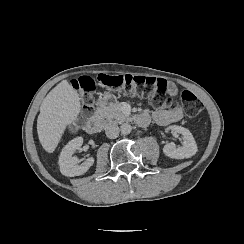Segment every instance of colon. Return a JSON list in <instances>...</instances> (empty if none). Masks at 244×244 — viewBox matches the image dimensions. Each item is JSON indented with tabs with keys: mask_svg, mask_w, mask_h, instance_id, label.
Listing matches in <instances>:
<instances>
[{
	"mask_svg": "<svg viewBox=\"0 0 244 244\" xmlns=\"http://www.w3.org/2000/svg\"><path fill=\"white\" fill-rule=\"evenodd\" d=\"M97 80L101 86H109L117 89H124L125 95L134 97H146L159 107L171 106L177 109L178 103L174 102L168 92L167 82L164 79L139 76V75H117L99 74ZM70 85L73 89H81L84 94V102L76 118L71 119L64 126L67 133L73 134L80 130L83 123L87 122L94 110L91 101H94L96 85L93 78L89 75H82L71 80ZM183 111L189 118H195L203 108L201 100L189 89H184L181 93Z\"/></svg>",
	"mask_w": 244,
	"mask_h": 244,
	"instance_id": "5ec220e1",
	"label": "colon"
}]
</instances>
